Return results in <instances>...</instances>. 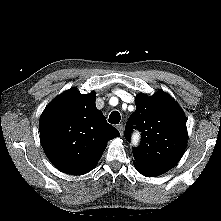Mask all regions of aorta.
Masks as SVG:
<instances>
[{
	"label": "aorta",
	"instance_id": "aorta-1",
	"mask_svg": "<svg viewBox=\"0 0 221 221\" xmlns=\"http://www.w3.org/2000/svg\"><path fill=\"white\" fill-rule=\"evenodd\" d=\"M137 137H134V140H133V144H135L136 145V143H137Z\"/></svg>",
	"mask_w": 221,
	"mask_h": 221
}]
</instances>
